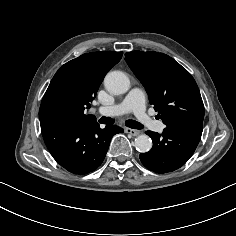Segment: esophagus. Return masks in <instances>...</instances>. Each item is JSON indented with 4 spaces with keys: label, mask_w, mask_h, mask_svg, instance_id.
<instances>
[{
    "label": "esophagus",
    "mask_w": 236,
    "mask_h": 236,
    "mask_svg": "<svg viewBox=\"0 0 236 236\" xmlns=\"http://www.w3.org/2000/svg\"><path fill=\"white\" fill-rule=\"evenodd\" d=\"M125 132L132 135V136H137L140 134V131L131 129V128H125Z\"/></svg>",
    "instance_id": "1"
}]
</instances>
